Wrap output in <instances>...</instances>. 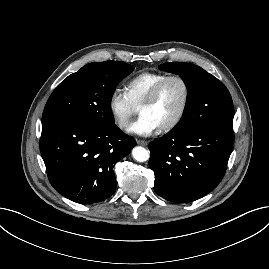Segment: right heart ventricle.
Returning <instances> with one entry per match:
<instances>
[{"mask_svg": "<svg viewBox=\"0 0 269 269\" xmlns=\"http://www.w3.org/2000/svg\"><path fill=\"white\" fill-rule=\"evenodd\" d=\"M167 76L168 74L162 72H142L126 83L125 94L132 105L137 108L151 89Z\"/></svg>", "mask_w": 269, "mask_h": 269, "instance_id": "e07e8e85", "label": "right heart ventricle"}]
</instances>
